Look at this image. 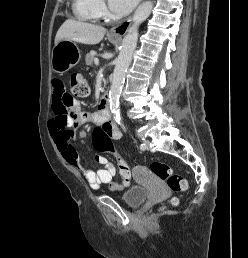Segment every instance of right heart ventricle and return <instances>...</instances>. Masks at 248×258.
Segmentation results:
<instances>
[{
	"instance_id": "right-heart-ventricle-1",
	"label": "right heart ventricle",
	"mask_w": 248,
	"mask_h": 258,
	"mask_svg": "<svg viewBox=\"0 0 248 258\" xmlns=\"http://www.w3.org/2000/svg\"><path fill=\"white\" fill-rule=\"evenodd\" d=\"M72 9L75 17L81 21L94 22L99 17L96 0H72Z\"/></svg>"
}]
</instances>
